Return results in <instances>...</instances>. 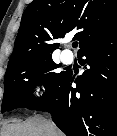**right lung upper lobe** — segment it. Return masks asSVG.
<instances>
[{
    "label": "right lung upper lobe",
    "mask_w": 117,
    "mask_h": 136,
    "mask_svg": "<svg viewBox=\"0 0 117 136\" xmlns=\"http://www.w3.org/2000/svg\"><path fill=\"white\" fill-rule=\"evenodd\" d=\"M117 28V0H33L25 9L9 64L52 56L66 33L75 34L80 50ZM79 50V51H80Z\"/></svg>",
    "instance_id": "1"
}]
</instances>
